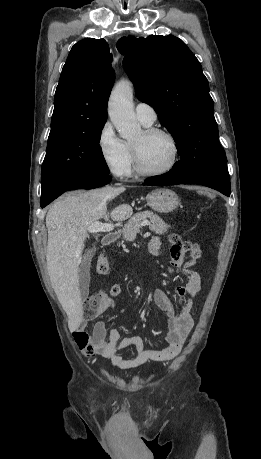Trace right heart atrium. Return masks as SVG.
Returning a JSON list of instances; mask_svg holds the SVG:
<instances>
[{
  "instance_id": "obj_1",
  "label": "right heart atrium",
  "mask_w": 261,
  "mask_h": 459,
  "mask_svg": "<svg viewBox=\"0 0 261 459\" xmlns=\"http://www.w3.org/2000/svg\"><path fill=\"white\" fill-rule=\"evenodd\" d=\"M97 147L105 166L112 174L119 177L129 174L132 165L131 155L110 121H106L100 128Z\"/></svg>"
}]
</instances>
